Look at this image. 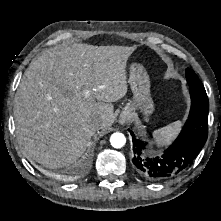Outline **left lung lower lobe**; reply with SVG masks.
Instances as JSON below:
<instances>
[{"label":"left lung lower lobe","mask_w":221,"mask_h":221,"mask_svg":"<svg viewBox=\"0 0 221 221\" xmlns=\"http://www.w3.org/2000/svg\"><path fill=\"white\" fill-rule=\"evenodd\" d=\"M191 109L189 117L178 138L161 157L143 158L147 145L137 139L132 130L133 164L137 171L152 181L166 180L188 167L203 148L208 136L209 101L206 91L190 87Z\"/></svg>","instance_id":"0a47b994"}]
</instances>
